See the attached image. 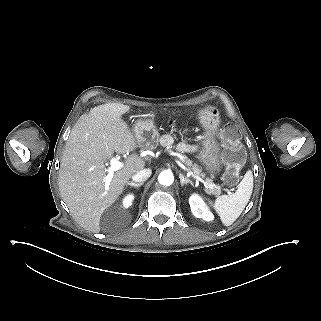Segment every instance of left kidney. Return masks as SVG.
I'll use <instances>...</instances> for the list:
<instances>
[{
	"label": "left kidney",
	"mask_w": 321,
	"mask_h": 321,
	"mask_svg": "<svg viewBox=\"0 0 321 321\" xmlns=\"http://www.w3.org/2000/svg\"><path fill=\"white\" fill-rule=\"evenodd\" d=\"M189 205L191 212L195 217L202 218L205 221H212L214 219V215L210 212L205 202L198 194L193 193L190 196Z\"/></svg>",
	"instance_id": "1"
}]
</instances>
